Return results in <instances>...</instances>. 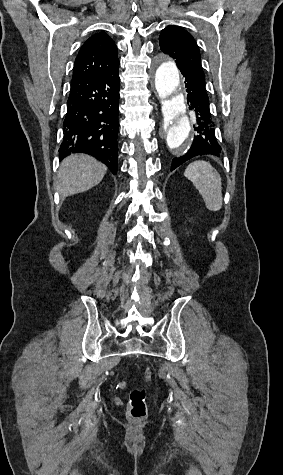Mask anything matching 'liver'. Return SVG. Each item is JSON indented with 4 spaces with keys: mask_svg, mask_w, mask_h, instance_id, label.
I'll list each match as a JSON object with an SVG mask.
<instances>
[{
    "mask_svg": "<svg viewBox=\"0 0 283 475\" xmlns=\"http://www.w3.org/2000/svg\"><path fill=\"white\" fill-rule=\"evenodd\" d=\"M106 172V166L91 156H86V154L68 156L61 162L59 168L58 190L62 198L86 192V190L97 186L103 180Z\"/></svg>",
    "mask_w": 283,
    "mask_h": 475,
    "instance_id": "liver-1",
    "label": "liver"
}]
</instances>
